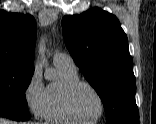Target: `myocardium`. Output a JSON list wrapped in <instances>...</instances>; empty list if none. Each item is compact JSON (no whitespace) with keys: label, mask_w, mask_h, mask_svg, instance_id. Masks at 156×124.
Wrapping results in <instances>:
<instances>
[{"label":"myocardium","mask_w":156,"mask_h":124,"mask_svg":"<svg viewBox=\"0 0 156 124\" xmlns=\"http://www.w3.org/2000/svg\"><path fill=\"white\" fill-rule=\"evenodd\" d=\"M82 86H85V87H88L89 89H91L98 96V98L100 100V105H101L100 113L96 118H94L92 120L83 119L78 114V112L76 111V109L74 107V95H75L76 91ZM64 98H65V105H66V108H67L69 114L79 123H83V124L95 123L103 117L105 110H106L105 99H104L103 95L101 94V92L93 84H91L87 81H84V80H77V81L70 83L65 89Z\"/></svg>","instance_id":"f54148a6"}]
</instances>
